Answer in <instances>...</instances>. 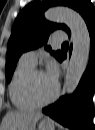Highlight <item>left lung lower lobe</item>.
<instances>
[{"mask_svg":"<svg viewBox=\"0 0 95 130\" xmlns=\"http://www.w3.org/2000/svg\"><path fill=\"white\" fill-rule=\"evenodd\" d=\"M91 37L89 63L85 73L71 96H65L42 111L63 126L75 130L90 128L93 114L92 96L95 83V15L91 12L84 17ZM66 58L62 52L57 59L61 62Z\"/></svg>","mask_w":95,"mask_h":130,"instance_id":"0a47b994","label":"left lung lower lobe"}]
</instances>
